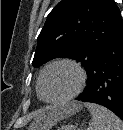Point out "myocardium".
I'll return each mask as SVG.
<instances>
[{
	"mask_svg": "<svg viewBox=\"0 0 123 130\" xmlns=\"http://www.w3.org/2000/svg\"><path fill=\"white\" fill-rule=\"evenodd\" d=\"M56 65H68V66H71L78 73L79 80H78L77 87L75 88V90L72 93H70L69 95H67V96H65L63 98H60V99L50 100V99H47L44 96V93H43V79H44V76H45L46 72L50 68H52V67H54ZM86 81H87V74H86L85 69L81 66L80 63H78L77 61H75V60H73L71 58H59V59L53 60L52 62L48 63L42 69V71H41V73L39 75V78H38V94H39V97L43 101H45L47 103H50V104L65 103V102H68V101L76 98L82 92V90L84 89V87L86 85Z\"/></svg>",
	"mask_w": 123,
	"mask_h": 130,
	"instance_id": "obj_1",
	"label": "myocardium"
}]
</instances>
